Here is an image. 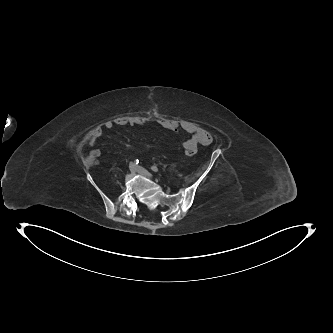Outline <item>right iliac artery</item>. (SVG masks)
Listing matches in <instances>:
<instances>
[{
  "label": "right iliac artery",
  "instance_id": "obj_1",
  "mask_svg": "<svg viewBox=\"0 0 333 333\" xmlns=\"http://www.w3.org/2000/svg\"><path fill=\"white\" fill-rule=\"evenodd\" d=\"M139 163V161L138 160H136V164H138Z\"/></svg>",
  "mask_w": 333,
  "mask_h": 333
}]
</instances>
